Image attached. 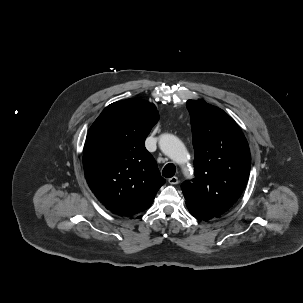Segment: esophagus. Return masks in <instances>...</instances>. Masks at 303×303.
<instances>
[{
	"label": "esophagus",
	"mask_w": 303,
	"mask_h": 303,
	"mask_svg": "<svg viewBox=\"0 0 303 303\" xmlns=\"http://www.w3.org/2000/svg\"><path fill=\"white\" fill-rule=\"evenodd\" d=\"M168 182H169L170 184H172V185H176V184L179 183V180H178V177L173 176V177H171V178L168 179Z\"/></svg>",
	"instance_id": "obj_1"
}]
</instances>
